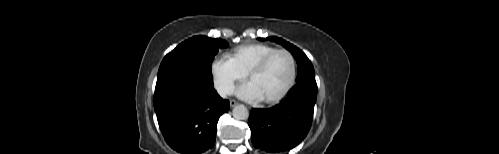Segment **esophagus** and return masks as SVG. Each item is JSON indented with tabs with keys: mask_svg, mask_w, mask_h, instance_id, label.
Returning <instances> with one entry per match:
<instances>
[{
	"mask_svg": "<svg viewBox=\"0 0 499 154\" xmlns=\"http://www.w3.org/2000/svg\"><path fill=\"white\" fill-rule=\"evenodd\" d=\"M237 104H238V102H237V101H235V100H230V106H231V107H234V106H236Z\"/></svg>",
	"mask_w": 499,
	"mask_h": 154,
	"instance_id": "1",
	"label": "esophagus"
}]
</instances>
